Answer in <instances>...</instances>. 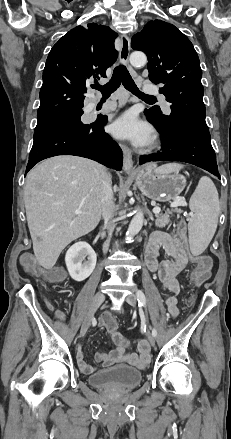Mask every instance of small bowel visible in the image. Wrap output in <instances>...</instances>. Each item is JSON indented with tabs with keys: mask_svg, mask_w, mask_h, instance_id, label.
Masks as SVG:
<instances>
[{
	"mask_svg": "<svg viewBox=\"0 0 231 439\" xmlns=\"http://www.w3.org/2000/svg\"><path fill=\"white\" fill-rule=\"evenodd\" d=\"M162 248L169 256L168 259L159 261V249ZM145 262L148 269L155 273L167 294L166 306L172 317L178 315L177 295L182 292L178 282V276L185 270L189 262L186 241L179 232L155 231L151 234L145 249ZM57 318L64 320L62 311L56 312ZM100 326L111 336L115 348L108 354L98 352L95 355L96 362L110 366L120 363L143 368L149 361V352L144 340L137 342L138 353L129 351V341L117 330V322L111 315H104L100 320ZM77 361L84 373H93L96 367L85 361L83 350L77 352Z\"/></svg>",
	"mask_w": 231,
	"mask_h": 439,
	"instance_id": "small-bowel-1",
	"label": "small bowel"
}]
</instances>
